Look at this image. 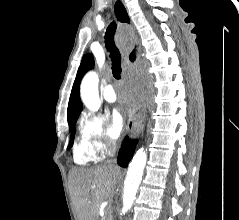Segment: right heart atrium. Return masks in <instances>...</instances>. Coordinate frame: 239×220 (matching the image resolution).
Returning a JSON list of instances; mask_svg holds the SVG:
<instances>
[{
	"label": "right heart atrium",
	"mask_w": 239,
	"mask_h": 220,
	"mask_svg": "<svg viewBox=\"0 0 239 220\" xmlns=\"http://www.w3.org/2000/svg\"><path fill=\"white\" fill-rule=\"evenodd\" d=\"M105 122L102 115L92 112L83 114L80 121L81 138L87 143L97 159L114 148V142L106 133Z\"/></svg>",
	"instance_id": "obj_1"
}]
</instances>
